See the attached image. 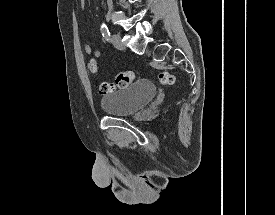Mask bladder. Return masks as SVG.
<instances>
[{
    "mask_svg": "<svg viewBox=\"0 0 275 215\" xmlns=\"http://www.w3.org/2000/svg\"><path fill=\"white\" fill-rule=\"evenodd\" d=\"M156 87L147 79H139L124 89L110 92L101 100V108L110 116L131 117L156 95Z\"/></svg>",
    "mask_w": 275,
    "mask_h": 215,
    "instance_id": "bladder-1",
    "label": "bladder"
}]
</instances>
